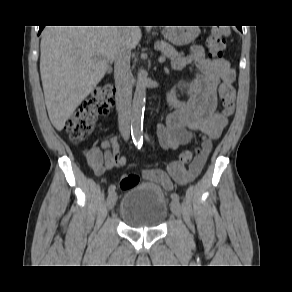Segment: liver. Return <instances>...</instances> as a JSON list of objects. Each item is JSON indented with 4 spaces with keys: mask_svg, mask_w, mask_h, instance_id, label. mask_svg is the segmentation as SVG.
<instances>
[{
    "mask_svg": "<svg viewBox=\"0 0 292 292\" xmlns=\"http://www.w3.org/2000/svg\"><path fill=\"white\" fill-rule=\"evenodd\" d=\"M40 74L49 119L63 130L103 79L122 47L141 39L139 26H47L41 34Z\"/></svg>",
    "mask_w": 292,
    "mask_h": 292,
    "instance_id": "1",
    "label": "liver"
}]
</instances>
